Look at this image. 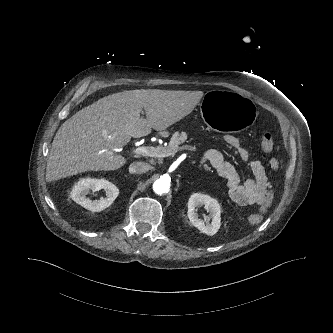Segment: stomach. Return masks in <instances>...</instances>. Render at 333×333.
<instances>
[{
    "instance_id": "obj_1",
    "label": "stomach",
    "mask_w": 333,
    "mask_h": 333,
    "mask_svg": "<svg viewBox=\"0 0 333 333\" xmlns=\"http://www.w3.org/2000/svg\"><path fill=\"white\" fill-rule=\"evenodd\" d=\"M200 109L207 126L229 134L244 133L255 121L253 103L242 95H232L227 91L210 93L202 100Z\"/></svg>"
}]
</instances>
